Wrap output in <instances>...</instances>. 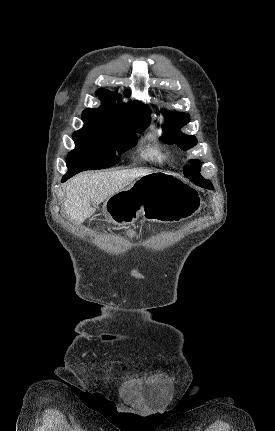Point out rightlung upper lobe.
<instances>
[{"instance_id":"obj_1","label":"right lung upper lobe","mask_w":275,"mask_h":431,"mask_svg":"<svg viewBox=\"0 0 275 431\" xmlns=\"http://www.w3.org/2000/svg\"><path fill=\"white\" fill-rule=\"evenodd\" d=\"M96 95L103 103L99 108H88L82 113L84 122L116 121L128 127H139L150 123L151 110L138 101L118 104L115 95L106 89H99Z\"/></svg>"}]
</instances>
